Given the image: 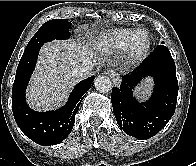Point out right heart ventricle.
Instances as JSON below:
<instances>
[{
    "label": "right heart ventricle",
    "mask_w": 196,
    "mask_h": 166,
    "mask_svg": "<svg viewBox=\"0 0 196 166\" xmlns=\"http://www.w3.org/2000/svg\"><path fill=\"white\" fill-rule=\"evenodd\" d=\"M131 33V29H117L104 35L101 42L108 49L125 53L128 48L127 39Z\"/></svg>",
    "instance_id": "right-heart-ventricle-1"
}]
</instances>
